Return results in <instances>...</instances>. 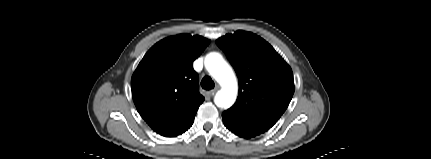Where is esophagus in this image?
I'll return each mask as SVG.
<instances>
[{"instance_id":"34e87169","label":"esophagus","mask_w":431,"mask_h":159,"mask_svg":"<svg viewBox=\"0 0 431 159\" xmlns=\"http://www.w3.org/2000/svg\"><path fill=\"white\" fill-rule=\"evenodd\" d=\"M218 88H219V87H216L215 89H213V90H211V91L207 92V95H208V96H210V97L214 96V94L218 91Z\"/></svg>"}]
</instances>
